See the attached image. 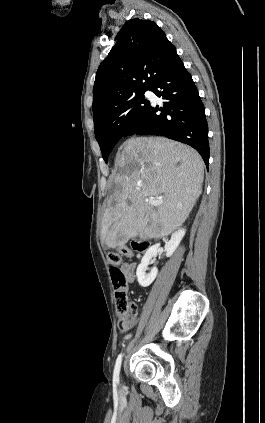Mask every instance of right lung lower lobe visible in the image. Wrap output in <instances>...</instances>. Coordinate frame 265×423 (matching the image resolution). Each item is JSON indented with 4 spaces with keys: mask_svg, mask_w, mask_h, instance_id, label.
<instances>
[{
    "mask_svg": "<svg viewBox=\"0 0 265 423\" xmlns=\"http://www.w3.org/2000/svg\"><path fill=\"white\" fill-rule=\"evenodd\" d=\"M150 90L164 99L163 107L150 105L124 136L163 135L195 148L206 166L209 162L208 125L205 109L191 75L176 55Z\"/></svg>",
    "mask_w": 265,
    "mask_h": 423,
    "instance_id": "98d812e1",
    "label": "right lung lower lobe"
}]
</instances>
